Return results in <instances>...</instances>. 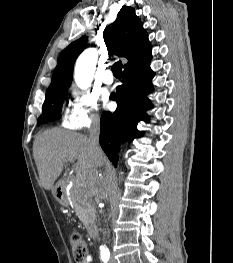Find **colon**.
I'll return each instance as SVG.
<instances>
[{
	"label": "colon",
	"instance_id": "colon-1",
	"mask_svg": "<svg viewBox=\"0 0 233 263\" xmlns=\"http://www.w3.org/2000/svg\"><path fill=\"white\" fill-rule=\"evenodd\" d=\"M70 244L73 251V257L80 263L87 254V243L85 238L78 232H72L69 236Z\"/></svg>",
	"mask_w": 233,
	"mask_h": 263
}]
</instances>
